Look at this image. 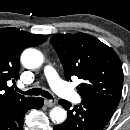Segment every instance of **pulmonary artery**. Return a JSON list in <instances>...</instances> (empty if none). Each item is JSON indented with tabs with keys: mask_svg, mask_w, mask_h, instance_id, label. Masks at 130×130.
<instances>
[{
	"mask_svg": "<svg viewBox=\"0 0 130 130\" xmlns=\"http://www.w3.org/2000/svg\"><path fill=\"white\" fill-rule=\"evenodd\" d=\"M45 77L51 88L63 98L78 103L81 100L80 95L71 89L57 74L51 65H46L44 68Z\"/></svg>",
	"mask_w": 130,
	"mask_h": 130,
	"instance_id": "e3ab8cb5",
	"label": "pulmonary artery"
}]
</instances>
